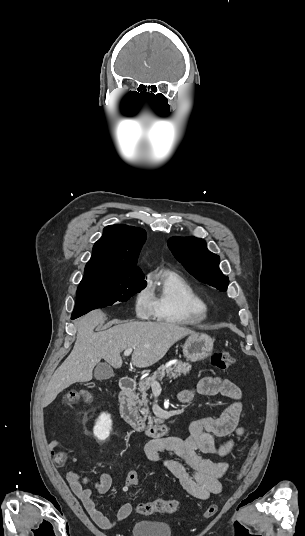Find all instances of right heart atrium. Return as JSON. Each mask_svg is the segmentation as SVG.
<instances>
[{"label":"right heart atrium","instance_id":"right-heart-atrium-1","mask_svg":"<svg viewBox=\"0 0 305 536\" xmlns=\"http://www.w3.org/2000/svg\"><path fill=\"white\" fill-rule=\"evenodd\" d=\"M133 307L139 318L147 319L154 315L155 310L153 309L150 291L147 285L142 286L135 292Z\"/></svg>","mask_w":305,"mask_h":536}]
</instances>
